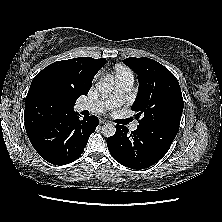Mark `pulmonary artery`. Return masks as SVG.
Returning a JSON list of instances; mask_svg holds the SVG:
<instances>
[{"label":"pulmonary artery","mask_w":222,"mask_h":222,"mask_svg":"<svg viewBox=\"0 0 222 222\" xmlns=\"http://www.w3.org/2000/svg\"><path fill=\"white\" fill-rule=\"evenodd\" d=\"M133 81V76L130 75L117 78L115 81V90L109 99L83 102L78 105L79 110H87L93 113H100L112 107L121 105L127 99L128 93L133 86ZM137 127L138 124L134 123L131 126V130L135 131Z\"/></svg>","instance_id":"e3ab8cb5"}]
</instances>
